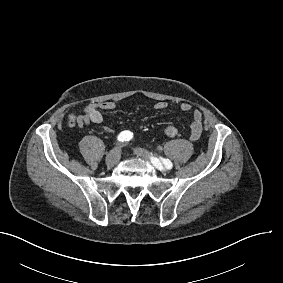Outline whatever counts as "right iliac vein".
Segmentation results:
<instances>
[{"label": "right iliac vein", "instance_id": "1", "mask_svg": "<svg viewBox=\"0 0 283 283\" xmlns=\"http://www.w3.org/2000/svg\"><path fill=\"white\" fill-rule=\"evenodd\" d=\"M120 160V149L116 148L111 150L105 160V164L107 167H113L119 163Z\"/></svg>", "mask_w": 283, "mask_h": 283}]
</instances>
